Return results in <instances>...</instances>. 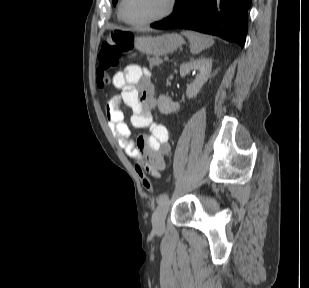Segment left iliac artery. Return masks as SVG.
Listing matches in <instances>:
<instances>
[{
  "instance_id": "obj_1",
  "label": "left iliac artery",
  "mask_w": 309,
  "mask_h": 288,
  "mask_svg": "<svg viewBox=\"0 0 309 288\" xmlns=\"http://www.w3.org/2000/svg\"><path fill=\"white\" fill-rule=\"evenodd\" d=\"M166 200H169V198H168V196H167L166 194H163V195H161V196L159 197L158 202H159V204H160V203H162V202H164V201H166Z\"/></svg>"
}]
</instances>
